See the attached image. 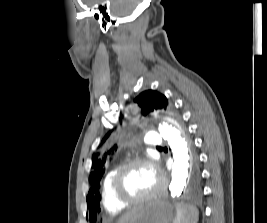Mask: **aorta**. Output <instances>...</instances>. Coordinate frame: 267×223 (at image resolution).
<instances>
[{
  "label": "aorta",
  "instance_id": "obj_1",
  "mask_svg": "<svg viewBox=\"0 0 267 223\" xmlns=\"http://www.w3.org/2000/svg\"><path fill=\"white\" fill-rule=\"evenodd\" d=\"M159 132L168 142L173 153V169L169 184V194L178 197L182 194L190 175L191 154L188 141L181 125L170 117L159 123Z\"/></svg>",
  "mask_w": 267,
  "mask_h": 223
}]
</instances>
